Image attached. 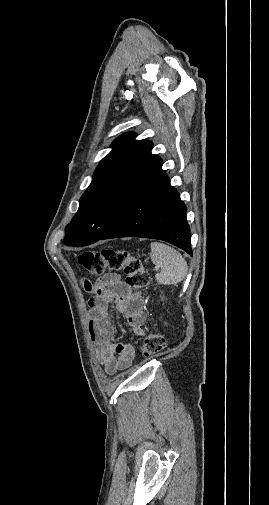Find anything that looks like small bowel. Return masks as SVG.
I'll use <instances>...</instances> for the list:
<instances>
[{
	"label": "small bowel",
	"mask_w": 269,
	"mask_h": 505,
	"mask_svg": "<svg viewBox=\"0 0 269 505\" xmlns=\"http://www.w3.org/2000/svg\"><path fill=\"white\" fill-rule=\"evenodd\" d=\"M84 288L93 294L89 301V334L96 349L99 362L107 374L128 369L135 357L134 349L126 343L114 342V326L109 316V304L115 303L116 310L122 314L136 336H143V299L134 296L120 275L106 274L102 281L94 285L84 283Z\"/></svg>",
	"instance_id": "obj_1"
}]
</instances>
